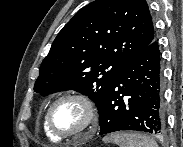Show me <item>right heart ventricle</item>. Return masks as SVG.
Listing matches in <instances>:
<instances>
[{
  "label": "right heart ventricle",
  "mask_w": 183,
  "mask_h": 147,
  "mask_svg": "<svg viewBox=\"0 0 183 147\" xmlns=\"http://www.w3.org/2000/svg\"><path fill=\"white\" fill-rule=\"evenodd\" d=\"M43 129H44V132H45L46 136H47L51 141H59V140H60L59 138H57L56 136H54V135L49 131V129L47 128L45 119H44V121H43Z\"/></svg>",
  "instance_id": "right-heart-ventricle-1"
}]
</instances>
